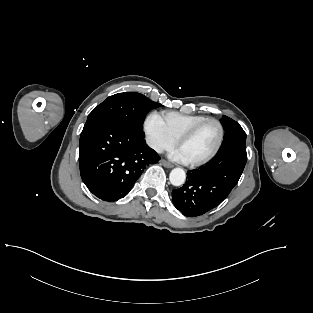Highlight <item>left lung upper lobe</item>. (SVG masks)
Instances as JSON below:
<instances>
[{"label":"left lung upper lobe","mask_w":313,"mask_h":313,"mask_svg":"<svg viewBox=\"0 0 313 313\" xmlns=\"http://www.w3.org/2000/svg\"><path fill=\"white\" fill-rule=\"evenodd\" d=\"M220 121L225 130L223 143L220 149L225 148L235 143L246 142V133L236 121L232 120L231 118L227 116H223V118Z\"/></svg>","instance_id":"obj_1"}]
</instances>
